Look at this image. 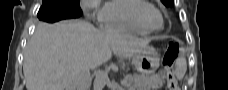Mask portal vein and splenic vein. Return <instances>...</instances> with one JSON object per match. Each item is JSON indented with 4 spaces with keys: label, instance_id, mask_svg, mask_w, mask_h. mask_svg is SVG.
<instances>
[{
    "label": "portal vein and splenic vein",
    "instance_id": "portal-vein-and-splenic-vein-1",
    "mask_svg": "<svg viewBox=\"0 0 228 90\" xmlns=\"http://www.w3.org/2000/svg\"><path fill=\"white\" fill-rule=\"evenodd\" d=\"M126 83H127L126 80H123V81H122V84L126 85Z\"/></svg>",
    "mask_w": 228,
    "mask_h": 90
}]
</instances>
